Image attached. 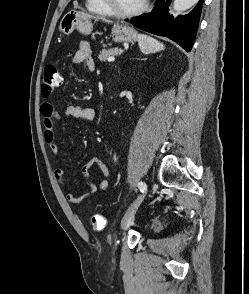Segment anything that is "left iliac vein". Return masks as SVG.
Segmentation results:
<instances>
[{
	"instance_id": "4c4485c4",
	"label": "left iliac vein",
	"mask_w": 249,
	"mask_h": 294,
	"mask_svg": "<svg viewBox=\"0 0 249 294\" xmlns=\"http://www.w3.org/2000/svg\"><path fill=\"white\" fill-rule=\"evenodd\" d=\"M147 191L143 192V194L139 195L135 202L132 204L128 212L125 214L123 221H122V229L126 231L130 226H132L134 222V214L142 203L144 197L146 196Z\"/></svg>"
}]
</instances>
